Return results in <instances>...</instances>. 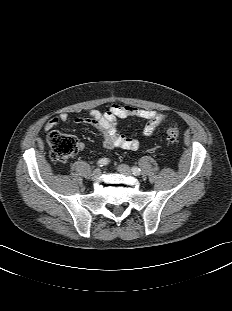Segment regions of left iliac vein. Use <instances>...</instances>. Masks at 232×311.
<instances>
[{"label":"left iliac vein","mask_w":232,"mask_h":311,"mask_svg":"<svg viewBox=\"0 0 232 311\" xmlns=\"http://www.w3.org/2000/svg\"><path fill=\"white\" fill-rule=\"evenodd\" d=\"M117 170L124 175H132V170L128 165L121 164L117 167Z\"/></svg>","instance_id":"left-iliac-vein-1"}]
</instances>
